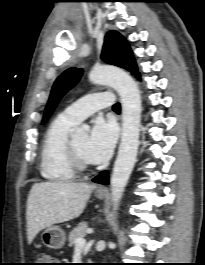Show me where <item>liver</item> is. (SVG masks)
Returning <instances> with one entry per match:
<instances>
[{
  "label": "liver",
  "instance_id": "1",
  "mask_svg": "<svg viewBox=\"0 0 205 265\" xmlns=\"http://www.w3.org/2000/svg\"><path fill=\"white\" fill-rule=\"evenodd\" d=\"M95 187L75 182L35 183L26 207L28 243L31 244L41 230L79 217Z\"/></svg>",
  "mask_w": 205,
  "mask_h": 265
}]
</instances>
